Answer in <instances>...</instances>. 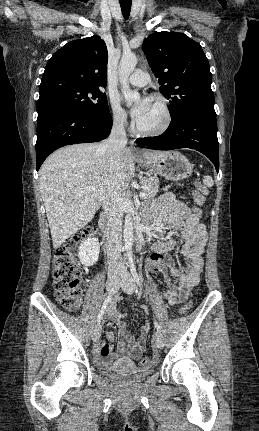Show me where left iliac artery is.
<instances>
[{
	"label": "left iliac artery",
	"instance_id": "left-iliac-artery-1",
	"mask_svg": "<svg viewBox=\"0 0 259 431\" xmlns=\"http://www.w3.org/2000/svg\"><path fill=\"white\" fill-rule=\"evenodd\" d=\"M129 263H130V270H131V273H132V276H133V278H134L135 282H136L139 286H141V281H140V278H139L138 273H137V271H136V268H135V265H134V262H133V257H132V255H130V256H129ZM154 326H155V328H156L158 331H161V327H160L159 323H158L156 320H154Z\"/></svg>",
	"mask_w": 259,
	"mask_h": 431
}]
</instances>
